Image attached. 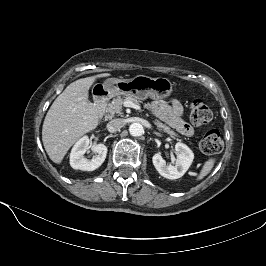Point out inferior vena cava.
<instances>
[{
  "instance_id": "1",
  "label": "inferior vena cava",
  "mask_w": 266,
  "mask_h": 266,
  "mask_svg": "<svg viewBox=\"0 0 266 266\" xmlns=\"http://www.w3.org/2000/svg\"><path fill=\"white\" fill-rule=\"evenodd\" d=\"M125 125V120L122 118H115L108 122L107 130L109 132L119 131Z\"/></svg>"
}]
</instances>
